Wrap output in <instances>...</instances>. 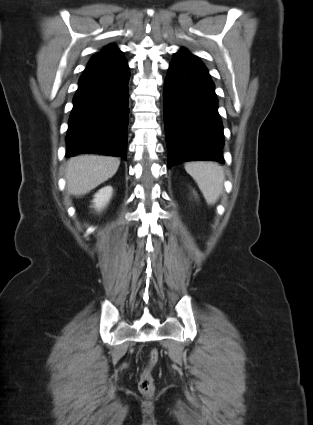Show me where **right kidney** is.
Masks as SVG:
<instances>
[{"mask_svg":"<svg viewBox=\"0 0 313 425\" xmlns=\"http://www.w3.org/2000/svg\"><path fill=\"white\" fill-rule=\"evenodd\" d=\"M113 194V188L111 186H106L101 188L95 195L93 199V208L100 211L109 203Z\"/></svg>","mask_w":313,"mask_h":425,"instance_id":"ca27d5eb","label":"right kidney"}]
</instances>
